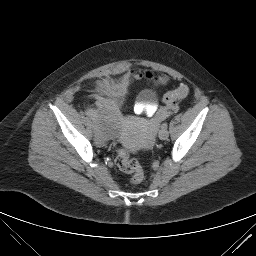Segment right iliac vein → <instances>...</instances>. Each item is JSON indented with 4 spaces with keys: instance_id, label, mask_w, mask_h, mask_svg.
<instances>
[{
    "instance_id": "1",
    "label": "right iliac vein",
    "mask_w": 256,
    "mask_h": 256,
    "mask_svg": "<svg viewBox=\"0 0 256 256\" xmlns=\"http://www.w3.org/2000/svg\"><path fill=\"white\" fill-rule=\"evenodd\" d=\"M88 120H89L90 122H93V125H94V126H97V125H98V122L95 121V120H96V117H95L94 115H90V116L88 117Z\"/></svg>"
}]
</instances>
